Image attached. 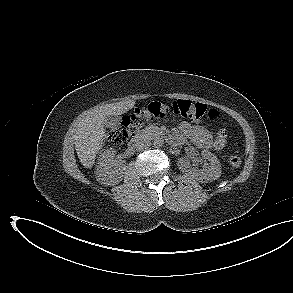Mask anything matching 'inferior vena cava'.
Masks as SVG:
<instances>
[{
    "label": "inferior vena cava",
    "mask_w": 293,
    "mask_h": 293,
    "mask_svg": "<svg viewBox=\"0 0 293 293\" xmlns=\"http://www.w3.org/2000/svg\"><path fill=\"white\" fill-rule=\"evenodd\" d=\"M151 145L150 140L148 139H139L134 144V149L137 151H141L147 149Z\"/></svg>",
    "instance_id": "602c4592"
}]
</instances>
